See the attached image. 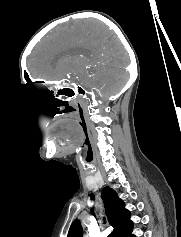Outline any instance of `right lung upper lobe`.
I'll use <instances>...</instances> for the list:
<instances>
[{
  "instance_id": "obj_1",
  "label": "right lung upper lobe",
  "mask_w": 181,
  "mask_h": 237,
  "mask_svg": "<svg viewBox=\"0 0 181 237\" xmlns=\"http://www.w3.org/2000/svg\"><path fill=\"white\" fill-rule=\"evenodd\" d=\"M102 199L105 204L108 221L114 228L109 237H130L133 222L130 220L131 214L125 208L124 202L109 187L103 189ZM67 237H82V226L79 220H75L71 224Z\"/></svg>"
}]
</instances>
